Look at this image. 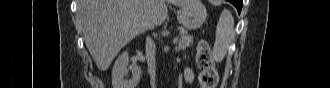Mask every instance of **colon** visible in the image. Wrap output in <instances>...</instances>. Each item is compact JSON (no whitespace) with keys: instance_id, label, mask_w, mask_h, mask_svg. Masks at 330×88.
Returning a JSON list of instances; mask_svg holds the SVG:
<instances>
[{"instance_id":"obj_1","label":"colon","mask_w":330,"mask_h":88,"mask_svg":"<svg viewBox=\"0 0 330 88\" xmlns=\"http://www.w3.org/2000/svg\"><path fill=\"white\" fill-rule=\"evenodd\" d=\"M196 62L200 71L199 83L201 88H215L219 76L211 49L205 40H200L197 45Z\"/></svg>"}]
</instances>
